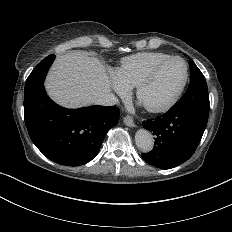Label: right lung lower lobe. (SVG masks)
Masks as SVG:
<instances>
[{
  "label": "right lung lower lobe",
  "instance_id": "98d812e1",
  "mask_svg": "<svg viewBox=\"0 0 232 232\" xmlns=\"http://www.w3.org/2000/svg\"><path fill=\"white\" fill-rule=\"evenodd\" d=\"M54 59L55 55L44 58L26 80L25 124L31 140L48 159L66 166L83 165L98 154L120 111L99 105L74 110L54 103L44 89Z\"/></svg>",
  "mask_w": 232,
  "mask_h": 232
}]
</instances>
